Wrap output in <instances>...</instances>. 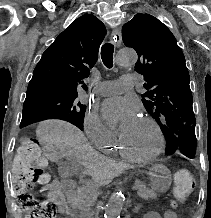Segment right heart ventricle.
<instances>
[{
  "label": "right heart ventricle",
  "instance_id": "right-heart-ventricle-1",
  "mask_svg": "<svg viewBox=\"0 0 211 218\" xmlns=\"http://www.w3.org/2000/svg\"><path fill=\"white\" fill-rule=\"evenodd\" d=\"M101 150L106 154L122 155L115 139L110 144L102 147Z\"/></svg>",
  "mask_w": 211,
  "mask_h": 218
}]
</instances>
